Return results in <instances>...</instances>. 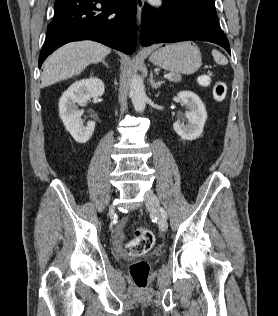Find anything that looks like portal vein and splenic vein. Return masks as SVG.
Instances as JSON below:
<instances>
[{"instance_id":"portal-vein-and-splenic-vein-1","label":"portal vein and splenic vein","mask_w":278,"mask_h":316,"mask_svg":"<svg viewBox=\"0 0 278 316\" xmlns=\"http://www.w3.org/2000/svg\"><path fill=\"white\" fill-rule=\"evenodd\" d=\"M172 76H173V75L169 73V74L164 75V78H165V79H171Z\"/></svg>"}]
</instances>
